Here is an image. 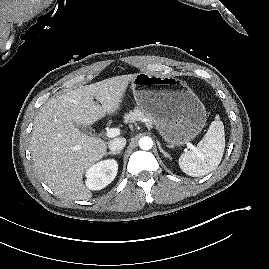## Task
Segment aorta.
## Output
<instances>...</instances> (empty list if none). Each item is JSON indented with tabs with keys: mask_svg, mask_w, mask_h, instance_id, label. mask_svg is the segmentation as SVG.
<instances>
[{
	"mask_svg": "<svg viewBox=\"0 0 269 269\" xmlns=\"http://www.w3.org/2000/svg\"><path fill=\"white\" fill-rule=\"evenodd\" d=\"M153 146V141L150 137H142L140 140H139V147L143 150H149L151 149Z\"/></svg>",
	"mask_w": 269,
	"mask_h": 269,
	"instance_id": "obj_1",
	"label": "aorta"
}]
</instances>
